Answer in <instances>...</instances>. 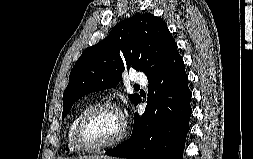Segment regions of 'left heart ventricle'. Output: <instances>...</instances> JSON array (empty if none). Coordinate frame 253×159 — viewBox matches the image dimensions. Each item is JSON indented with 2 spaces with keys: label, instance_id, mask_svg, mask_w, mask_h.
<instances>
[{
  "label": "left heart ventricle",
  "instance_id": "left-heart-ventricle-1",
  "mask_svg": "<svg viewBox=\"0 0 253 159\" xmlns=\"http://www.w3.org/2000/svg\"><path fill=\"white\" fill-rule=\"evenodd\" d=\"M120 115L112 109H102L94 113L84 127L87 143L98 145L114 139L121 131Z\"/></svg>",
  "mask_w": 253,
  "mask_h": 159
}]
</instances>
